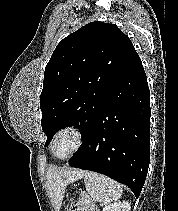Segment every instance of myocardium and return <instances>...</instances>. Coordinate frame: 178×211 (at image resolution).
I'll return each instance as SVG.
<instances>
[{
  "mask_svg": "<svg viewBox=\"0 0 178 211\" xmlns=\"http://www.w3.org/2000/svg\"><path fill=\"white\" fill-rule=\"evenodd\" d=\"M63 134H71L74 138V145L72 149L65 155H58L55 150V145L59 137L62 136ZM83 142H84V135L82 130L75 125H66L60 128L54 135V138L51 143V151L55 157L59 159H66L75 155L82 148Z\"/></svg>",
  "mask_w": 178,
  "mask_h": 211,
  "instance_id": "f54148a6",
  "label": "myocardium"
}]
</instances>
